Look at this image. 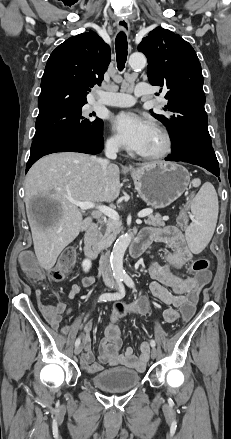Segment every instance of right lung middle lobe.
I'll use <instances>...</instances> for the list:
<instances>
[{"instance_id": "1", "label": "right lung middle lobe", "mask_w": 231, "mask_h": 439, "mask_svg": "<svg viewBox=\"0 0 231 439\" xmlns=\"http://www.w3.org/2000/svg\"><path fill=\"white\" fill-rule=\"evenodd\" d=\"M95 113L89 115L82 114V106L64 109L50 115L37 118L36 132L33 140L61 135H100L102 133L103 121L99 118H90Z\"/></svg>"}]
</instances>
